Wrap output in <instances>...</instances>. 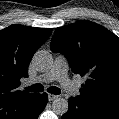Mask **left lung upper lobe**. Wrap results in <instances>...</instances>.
<instances>
[{
  "label": "left lung upper lobe",
  "mask_w": 119,
  "mask_h": 119,
  "mask_svg": "<svg viewBox=\"0 0 119 119\" xmlns=\"http://www.w3.org/2000/svg\"><path fill=\"white\" fill-rule=\"evenodd\" d=\"M51 50L64 54L72 71L86 77L77 98L119 113V38L115 34L81 21L57 28Z\"/></svg>",
  "instance_id": "1"
}]
</instances>
